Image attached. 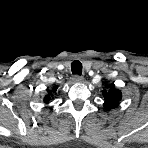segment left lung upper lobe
Returning a JSON list of instances; mask_svg holds the SVG:
<instances>
[{
    "label": "left lung upper lobe",
    "mask_w": 148,
    "mask_h": 148,
    "mask_svg": "<svg viewBox=\"0 0 148 148\" xmlns=\"http://www.w3.org/2000/svg\"><path fill=\"white\" fill-rule=\"evenodd\" d=\"M109 90H103V96L105 99L104 108L109 111L118 107L120 100L122 99V93L116 89L114 84L107 85Z\"/></svg>",
    "instance_id": "5c2ea615"
}]
</instances>
